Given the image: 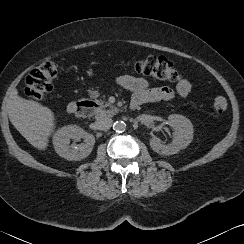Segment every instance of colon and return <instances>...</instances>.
Returning a JSON list of instances; mask_svg holds the SVG:
<instances>
[{
  "instance_id": "colon-1",
  "label": "colon",
  "mask_w": 244,
  "mask_h": 244,
  "mask_svg": "<svg viewBox=\"0 0 244 244\" xmlns=\"http://www.w3.org/2000/svg\"><path fill=\"white\" fill-rule=\"evenodd\" d=\"M128 68L136 73L152 76L158 80L178 82L180 73L165 57L148 56L128 64ZM58 67L52 61H46L32 69L25 79V94L35 100H41L53 90V80L57 76ZM228 109L224 97H216L213 102V115L219 119Z\"/></svg>"
}]
</instances>
